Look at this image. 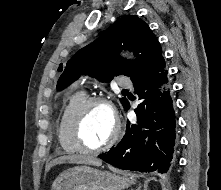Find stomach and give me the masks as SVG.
<instances>
[{"mask_svg": "<svg viewBox=\"0 0 221 190\" xmlns=\"http://www.w3.org/2000/svg\"><path fill=\"white\" fill-rule=\"evenodd\" d=\"M134 183L135 179L129 175L76 166L62 172L51 190H123Z\"/></svg>", "mask_w": 221, "mask_h": 190, "instance_id": "obj_1", "label": "stomach"}]
</instances>
